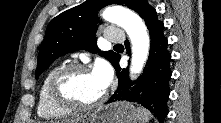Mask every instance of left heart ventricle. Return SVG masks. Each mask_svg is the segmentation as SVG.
I'll use <instances>...</instances> for the list:
<instances>
[{"label": "left heart ventricle", "mask_w": 221, "mask_h": 123, "mask_svg": "<svg viewBox=\"0 0 221 123\" xmlns=\"http://www.w3.org/2000/svg\"><path fill=\"white\" fill-rule=\"evenodd\" d=\"M63 90L68 97L89 104L98 100L105 89L92 71H78L64 80Z\"/></svg>", "instance_id": "left-heart-ventricle-1"}]
</instances>
